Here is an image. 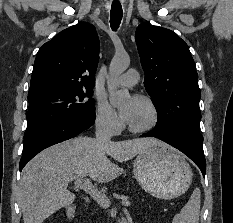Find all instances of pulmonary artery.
Segmentation results:
<instances>
[{
	"instance_id": "1",
	"label": "pulmonary artery",
	"mask_w": 233,
	"mask_h": 223,
	"mask_svg": "<svg viewBox=\"0 0 233 223\" xmlns=\"http://www.w3.org/2000/svg\"><path fill=\"white\" fill-rule=\"evenodd\" d=\"M138 80V71L135 69H130L122 77L118 79V82L124 86H134L138 83Z\"/></svg>"
}]
</instances>
